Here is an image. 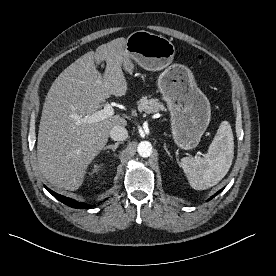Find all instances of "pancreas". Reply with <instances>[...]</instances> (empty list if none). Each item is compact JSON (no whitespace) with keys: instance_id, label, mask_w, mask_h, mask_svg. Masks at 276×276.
<instances>
[{"instance_id":"obj_1","label":"pancreas","mask_w":276,"mask_h":276,"mask_svg":"<svg viewBox=\"0 0 276 276\" xmlns=\"http://www.w3.org/2000/svg\"><path fill=\"white\" fill-rule=\"evenodd\" d=\"M138 110L150 114L155 112L166 111V108L158 99H149L147 97H143L138 102Z\"/></svg>"}]
</instances>
